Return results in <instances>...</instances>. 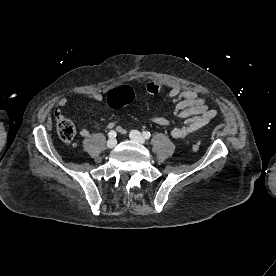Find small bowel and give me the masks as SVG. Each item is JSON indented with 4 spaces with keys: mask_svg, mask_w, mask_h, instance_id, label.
<instances>
[{
    "mask_svg": "<svg viewBox=\"0 0 276 276\" xmlns=\"http://www.w3.org/2000/svg\"><path fill=\"white\" fill-rule=\"evenodd\" d=\"M146 91L150 95L165 92L166 99L174 105V115L182 120V124L174 127L170 132L174 139L190 137L210 123L217 115V111L210 107L206 98L194 90H186L180 86H173L165 91L160 83L152 81L146 85ZM86 97L96 102H103V96L97 92L89 93ZM67 102V98H62L59 100L58 105L60 108H63ZM150 121L159 126H169L171 124L170 119L160 115L151 116ZM108 128L121 131L116 121L110 122ZM80 135L86 138L90 135V131L82 128Z\"/></svg>",
    "mask_w": 276,
    "mask_h": 276,
    "instance_id": "small-bowel-1",
    "label": "small bowel"
}]
</instances>
